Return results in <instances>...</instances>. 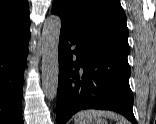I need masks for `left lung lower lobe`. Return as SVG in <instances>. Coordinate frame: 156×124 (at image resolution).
<instances>
[{
    "label": "left lung lower lobe",
    "instance_id": "1",
    "mask_svg": "<svg viewBox=\"0 0 156 124\" xmlns=\"http://www.w3.org/2000/svg\"><path fill=\"white\" fill-rule=\"evenodd\" d=\"M127 56L109 43L61 25L57 124H65L82 109L116 111L137 124Z\"/></svg>",
    "mask_w": 156,
    "mask_h": 124
}]
</instances>
